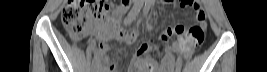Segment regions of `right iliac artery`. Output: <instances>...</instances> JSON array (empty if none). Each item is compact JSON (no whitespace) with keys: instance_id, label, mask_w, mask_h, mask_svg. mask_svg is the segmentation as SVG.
I'll return each mask as SVG.
<instances>
[{"instance_id":"obj_1","label":"right iliac artery","mask_w":267,"mask_h":72,"mask_svg":"<svg viewBox=\"0 0 267 72\" xmlns=\"http://www.w3.org/2000/svg\"><path fill=\"white\" fill-rule=\"evenodd\" d=\"M143 4H144L143 0H139L134 4L133 8L131 9V11L129 12V14L127 15V17L124 21L125 25L130 24L135 19V17L140 12ZM97 61H98L97 56H94L92 63L95 64Z\"/></svg>"}]
</instances>
